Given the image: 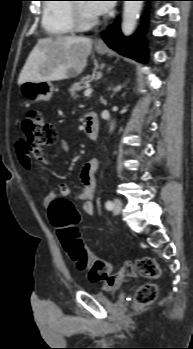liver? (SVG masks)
I'll list each match as a JSON object with an SVG mask.
<instances>
[{"instance_id": "1", "label": "liver", "mask_w": 193, "mask_h": 349, "mask_svg": "<svg viewBox=\"0 0 193 349\" xmlns=\"http://www.w3.org/2000/svg\"><path fill=\"white\" fill-rule=\"evenodd\" d=\"M92 50L85 37L56 36L39 39L19 75L18 84L26 81H57L81 73Z\"/></svg>"}]
</instances>
